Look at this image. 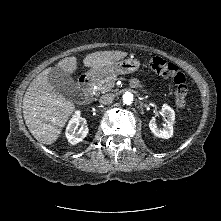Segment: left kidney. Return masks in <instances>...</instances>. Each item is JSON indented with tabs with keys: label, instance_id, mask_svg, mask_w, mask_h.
Here are the masks:
<instances>
[{
	"label": "left kidney",
	"instance_id": "obj_1",
	"mask_svg": "<svg viewBox=\"0 0 221 221\" xmlns=\"http://www.w3.org/2000/svg\"><path fill=\"white\" fill-rule=\"evenodd\" d=\"M161 113L166 118L167 124L164 125L163 129H160L156 125L155 117H152L149 122V128L155 136L163 139H169L173 135V123L175 120V112L170 106L164 104L162 106Z\"/></svg>",
	"mask_w": 221,
	"mask_h": 221
}]
</instances>
